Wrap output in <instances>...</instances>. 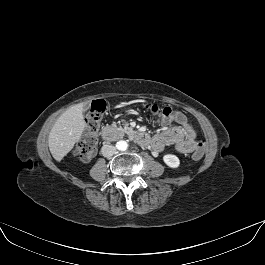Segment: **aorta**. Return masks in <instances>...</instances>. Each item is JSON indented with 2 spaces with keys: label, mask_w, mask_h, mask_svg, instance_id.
Listing matches in <instances>:
<instances>
[{
  "label": "aorta",
  "mask_w": 265,
  "mask_h": 265,
  "mask_svg": "<svg viewBox=\"0 0 265 265\" xmlns=\"http://www.w3.org/2000/svg\"><path fill=\"white\" fill-rule=\"evenodd\" d=\"M116 148L119 151H125L128 148V143L124 140H120L116 143Z\"/></svg>",
  "instance_id": "aorta-1"
}]
</instances>
